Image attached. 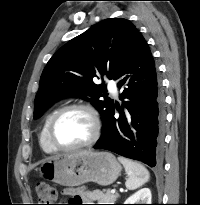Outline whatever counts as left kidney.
<instances>
[{
	"mask_svg": "<svg viewBox=\"0 0 200 205\" xmlns=\"http://www.w3.org/2000/svg\"><path fill=\"white\" fill-rule=\"evenodd\" d=\"M151 191L149 188H142L130 196L124 204H151Z\"/></svg>",
	"mask_w": 200,
	"mask_h": 205,
	"instance_id": "1",
	"label": "left kidney"
}]
</instances>
